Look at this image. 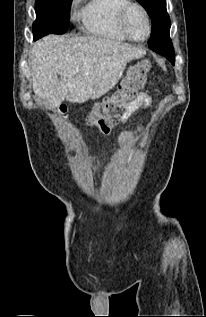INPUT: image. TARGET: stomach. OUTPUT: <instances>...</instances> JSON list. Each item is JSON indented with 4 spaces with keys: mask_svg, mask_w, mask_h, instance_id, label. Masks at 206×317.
<instances>
[{
    "mask_svg": "<svg viewBox=\"0 0 206 317\" xmlns=\"http://www.w3.org/2000/svg\"><path fill=\"white\" fill-rule=\"evenodd\" d=\"M132 66H133V64H130V65H129V68H132ZM117 87H119V85H118Z\"/></svg>",
    "mask_w": 206,
    "mask_h": 317,
    "instance_id": "stomach-1",
    "label": "stomach"
}]
</instances>
